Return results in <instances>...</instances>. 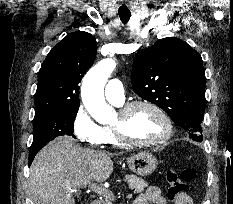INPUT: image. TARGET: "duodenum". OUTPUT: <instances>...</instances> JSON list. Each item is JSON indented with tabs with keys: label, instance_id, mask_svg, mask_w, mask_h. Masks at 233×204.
Segmentation results:
<instances>
[{
	"label": "duodenum",
	"instance_id": "410a0bca",
	"mask_svg": "<svg viewBox=\"0 0 233 204\" xmlns=\"http://www.w3.org/2000/svg\"><path fill=\"white\" fill-rule=\"evenodd\" d=\"M90 204H100L98 201L94 200V201H91Z\"/></svg>",
	"mask_w": 233,
	"mask_h": 204
}]
</instances>
